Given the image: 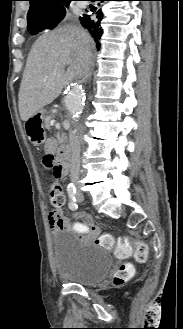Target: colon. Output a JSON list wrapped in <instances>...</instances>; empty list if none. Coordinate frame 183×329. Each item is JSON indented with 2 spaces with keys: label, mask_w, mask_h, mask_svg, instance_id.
I'll use <instances>...</instances> for the list:
<instances>
[{
  "label": "colon",
  "mask_w": 183,
  "mask_h": 329,
  "mask_svg": "<svg viewBox=\"0 0 183 329\" xmlns=\"http://www.w3.org/2000/svg\"><path fill=\"white\" fill-rule=\"evenodd\" d=\"M42 167L46 176L51 180L49 194L51 203L56 208H61L65 203V196L61 185L63 168L60 166L54 155L45 154L42 159ZM96 242L106 248H116L118 255H128L133 253L135 259L144 262L147 259L148 248L143 243L123 242L116 244L115 240L108 235H102ZM133 268L129 264H123L114 275V284L121 285L132 276Z\"/></svg>",
  "instance_id": "5ec220e1"
}]
</instances>
